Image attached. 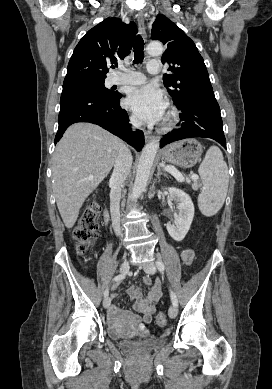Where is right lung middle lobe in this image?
Returning a JSON list of instances; mask_svg holds the SVG:
<instances>
[{
  "label": "right lung middle lobe",
  "instance_id": "obj_1",
  "mask_svg": "<svg viewBox=\"0 0 272 389\" xmlns=\"http://www.w3.org/2000/svg\"><path fill=\"white\" fill-rule=\"evenodd\" d=\"M63 91H88L105 97H116L119 93L108 90L104 86V80L88 81L63 86Z\"/></svg>",
  "mask_w": 272,
  "mask_h": 389
}]
</instances>
